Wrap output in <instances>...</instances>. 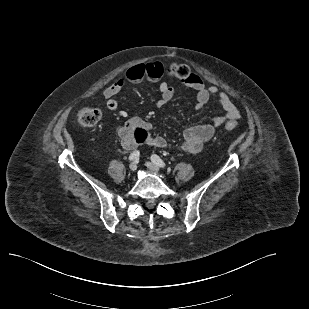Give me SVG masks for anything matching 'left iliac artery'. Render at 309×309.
<instances>
[{
  "label": "left iliac artery",
  "mask_w": 309,
  "mask_h": 309,
  "mask_svg": "<svg viewBox=\"0 0 309 309\" xmlns=\"http://www.w3.org/2000/svg\"><path fill=\"white\" fill-rule=\"evenodd\" d=\"M151 160L154 164H156L157 166L161 167V168H165L166 164L165 162L156 154H153L151 156Z\"/></svg>",
  "instance_id": "left-iliac-artery-1"
}]
</instances>
